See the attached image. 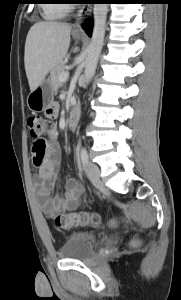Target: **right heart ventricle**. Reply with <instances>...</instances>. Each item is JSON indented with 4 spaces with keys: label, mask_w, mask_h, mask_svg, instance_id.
<instances>
[{
    "label": "right heart ventricle",
    "mask_w": 181,
    "mask_h": 300,
    "mask_svg": "<svg viewBox=\"0 0 181 300\" xmlns=\"http://www.w3.org/2000/svg\"><path fill=\"white\" fill-rule=\"evenodd\" d=\"M42 16L46 20H58L63 18L68 12V6L61 0H45L41 5Z\"/></svg>",
    "instance_id": "e07e8e85"
}]
</instances>
